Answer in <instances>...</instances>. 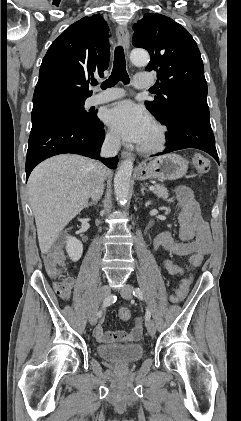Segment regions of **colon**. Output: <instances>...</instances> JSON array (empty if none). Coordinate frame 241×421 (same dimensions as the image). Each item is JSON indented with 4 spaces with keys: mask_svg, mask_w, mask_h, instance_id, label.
I'll use <instances>...</instances> for the list:
<instances>
[{
    "mask_svg": "<svg viewBox=\"0 0 241 421\" xmlns=\"http://www.w3.org/2000/svg\"><path fill=\"white\" fill-rule=\"evenodd\" d=\"M193 163L196 170L200 174H205L210 170V162L209 160L201 155L196 154L193 157ZM43 259L45 263V267L47 273L56 279L61 280L56 284L57 287H61L66 283H69L70 279L66 276V265H65V257L60 248H50L43 254ZM203 262V255L196 254L189 258L188 266L191 269H197ZM162 268L170 275H179L184 272V268L179 264L171 261V260H164L161 264ZM192 282L191 275L186 276L182 279L179 286L175 290V297L178 300L184 299L189 291L190 285ZM131 313L130 310L126 307H123L119 310V317L122 320L130 319Z\"/></svg>",
    "mask_w": 241,
    "mask_h": 421,
    "instance_id": "5ec220e1",
    "label": "colon"
}]
</instances>
